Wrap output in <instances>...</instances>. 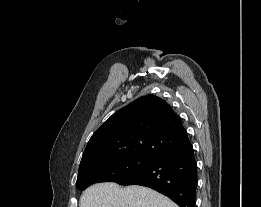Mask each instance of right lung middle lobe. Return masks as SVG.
I'll return each instance as SVG.
<instances>
[{
	"label": "right lung middle lobe",
	"instance_id": "1",
	"mask_svg": "<svg viewBox=\"0 0 261 207\" xmlns=\"http://www.w3.org/2000/svg\"><path fill=\"white\" fill-rule=\"evenodd\" d=\"M156 158L140 155L124 156L85 165L79 168L76 186L81 191L100 182H120L155 162Z\"/></svg>",
	"mask_w": 261,
	"mask_h": 207
}]
</instances>
